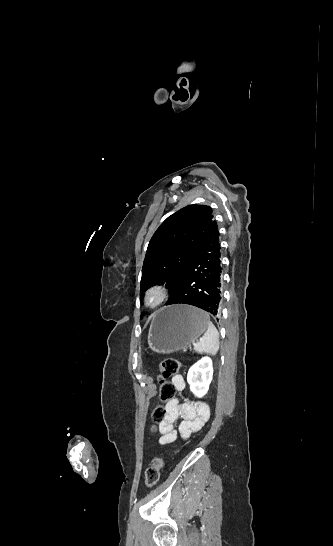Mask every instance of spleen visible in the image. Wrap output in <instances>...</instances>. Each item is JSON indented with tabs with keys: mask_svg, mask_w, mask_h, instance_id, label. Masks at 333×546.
<instances>
[{
	"mask_svg": "<svg viewBox=\"0 0 333 546\" xmlns=\"http://www.w3.org/2000/svg\"><path fill=\"white\" fill-rule=\"evenodd\" d=\"M208 319V328L204 336L200 341L194 344V350L199 353L216 354L219 350V333L213 323L210 321L209 315L206 313Z\"/></svg>",
	"mask_w": 333,
	"mask_h": 546,
	"instance_id": "spleen-1",
	"label": "spleen"
}]
</instances>
